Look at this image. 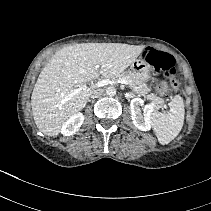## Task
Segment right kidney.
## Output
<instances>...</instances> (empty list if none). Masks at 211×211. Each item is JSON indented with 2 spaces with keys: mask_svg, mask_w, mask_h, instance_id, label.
<instances>
[{
  "mask_svg": "<svg viewBox=\"0 0 211 211\" xmlns=\"http://www.w3.org/2000/svg\"><path fill=\"white\" fill-rule=\"evenodd\" d=\"M83 121L84 116L82 113L74 114L62 125L61 133L64 136H71L75 134L81 127Z\"/></svg>",
  "mask_w": 211,
  "mask_h": 211,
  "instance_id": "right-kidney-1",
  "label": "right kidney"
}]
</instances>
